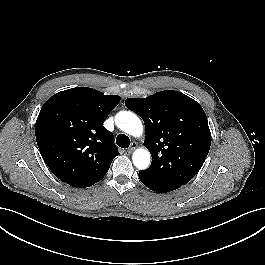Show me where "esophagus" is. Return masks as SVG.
Returning a JSON list of instances; mask_svg holds the SVG:
<instances>
[{
  "label": "esophagus",
  "mask_w": 265,
  "mask_h": 265,
  "mask_svg": "<svg viewBox=\"0 0 265 265\" xmlns=\"http://www.w3.org/2000/svg\"><path fill=\"white\" fill-rule=\"evenodd\" d=\"M137 147V143L136 142H132L130 147L127 149V152L130 154L134 151V149Z\"/></svg>",
  "instance_id": "34e87169"
}]
</instances>
